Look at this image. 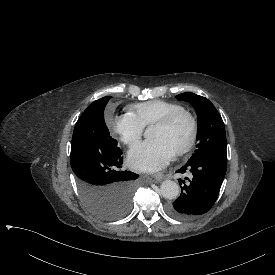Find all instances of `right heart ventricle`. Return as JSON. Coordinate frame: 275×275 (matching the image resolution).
Listing matches in <instances>:
<instances>
[{
  "label": "right heart ventricle",
  "mask_w": 275,
  "mask_h": 275,
  "mask_svg": "<svg viewBox=\"0 0 275 275\" xmlns=\"http://www.w3.org/2000/svg\"><path fill=\"white\" fill-rule=\"evenodd\" d=\"M128 110L143 127H150L169 114L184 110V107L177 103L155 99L131 105Z\"/></svg>",
  "instance_id": "obj_1"
}]
</instances>
